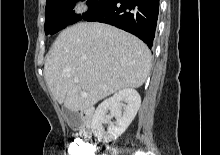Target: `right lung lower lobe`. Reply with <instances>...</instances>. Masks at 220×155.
Listing matches in <instances>:
<instances>
[{
    "mask_svg": "<svg viewBox=\"0 0 220 155\" xmlns=\"http://www.w3.org/2000/svg\"><path fill=\"white\" fill-rule=\"evenodd\" d=\"M158 13L159 0H113L105 9L85 20L114 25L136 35L151 48Z\"/></svg>",
    "mask_w": 220,
    "mask_h": 155,
    "instance_id": "right-lung-lower-lobe-1",
    "label": "right lung lower lobe"
}]
</instances>
